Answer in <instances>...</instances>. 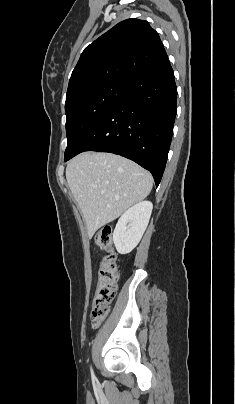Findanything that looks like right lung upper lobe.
<instances>
[{
	"label": "right lung upper lobe",
	"mask_w": 235,
	"mask_h": 404,
	"mask_svg": "<svg viewBox=\"0 0 235 404\" xmlns=\"http://www.w3.org/2000/svg\"><path fill=\"white\" fill-rule=\"evenodd\" d=\"M168 58L158 33L144 20H124L87 46L72 72L66 101L90 87L125 83Z\"/></svg>",
	"instance_id": "right-lung-upper-lobe-1"
}]
</instances>
